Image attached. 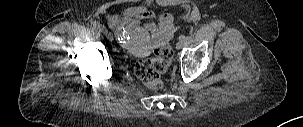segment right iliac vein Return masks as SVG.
Segmentation results:
<instances>
[{
  "instance_id": "1",
  "label": "right iliac vein",
  "mask_w": 303,
  "mask_h": 127,
  "mask_svg": "<svg viewBox=\"0 0 303 127\" xmlns=\"http://www.w3.org/2000/svg\"><path fill=\"white\" fill-rule=\"evenodd\" d=\"M105 36L107 37L108 40L112 41L113 40V36L110 32L106 31L105 32Z\"/></svg>"
}]
</instances>
